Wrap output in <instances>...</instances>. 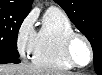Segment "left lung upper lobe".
<instances>
[{"mask_svg":"<svg viewBox=\"0 0 102 75\" xmlns=\"http://www.w3.org/2000/svg\"><path fill=\"white\" fill-rule=\"evenodd\" d=\"M90 41L94 69L102 74V0H54Z\"/></svg>","mask_w":102,"mask_h":75,"instance_id":"1","label":"left lung upper lobe"}]
</instances>
